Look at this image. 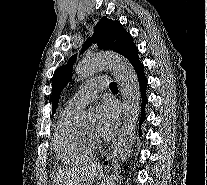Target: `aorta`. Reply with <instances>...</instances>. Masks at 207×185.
I'll return each instance as SVG.
<instances>
[{
	"mask_svg": "<svg viewBox=\"0 0 207 185\" xmlns=\"http://www.w3.org/2000/svg\"><path fill=\"white\" fill-rule=\"evenodd\" d=\"M103 69L112 70L120 86L123 98V125L115 148L109 160L103 185H120L124 162L129 158L135 137V129L140 112V87L131 63L114 53L91 54L78 62L75 72L78 80H83ZM78 127L87 128L93 123V114L80 111L75 115Z\"/></svg>",
	"mask_w": 207,
	"mask_h": 185,
	"instance_id": "762f6f07",
	"label": "aorta"
}]
</instances>
